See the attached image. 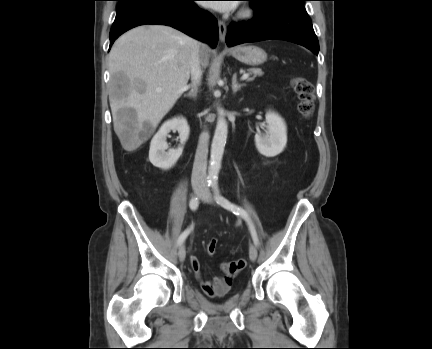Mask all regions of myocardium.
Masks as SVG:
<instances>
[{
	"mask_svg": "<svg viewBox=\"0 0 432 349\" xmlns=\"http://www.w3.org/2000/svg\"><path fill=\"white\" fill-rule=\"evenodd\" d=\"M250 14H251V11L246 8V9L241 11L240 17L245 18V17H248Z\"/></svg>",
	"mask_w": 432,
	"mask_h": 349,
	"instance_id": "myocardium-1",
	"label": "myocardium"
}]
</instances>
